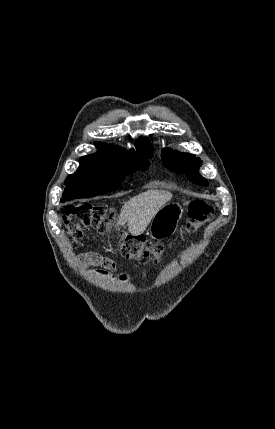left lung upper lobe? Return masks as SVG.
I'll return each instance as SVG.
<instances>
[{
	"label": "left lung upper lobe",
	"instance_id": "left-lung-upper-lobe-1",
	"mask_svg": "<svg viewBox=\"0 0 275 429\" xmlns=\"http://www.w3.org/2000/svg\"><path fill=\"white\" fill-rule=\"evenodd\" d=\"M164 164L172 171L185 173L188 179L194 183L207 186L208 182L198 173L201 166L200 158L189 153L173 152L169 149L162 151Z\"/></svg>",
	"mask_w": 275,
	"mask_h": 429
}]
</instances>
